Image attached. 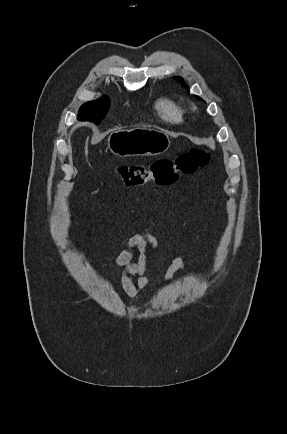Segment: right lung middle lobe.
<instances>
[{
    "mask_svg": "<svg viewBox=\"0 0 287 434\" xmlns=\"http://www.w3.org/2000/svg\"><path fill=\"white\" fill-rule=\"evenodd\" d=\"M108 108L109 100L107 97L87 102L80 108L79 119L90 120L98 124L106 115Z\"/></svg>",
    "mask_w": 287,
    "mask_h": 434,
    "instance_id": "right-lung-middle-lobe-1",
    "label": "right lung middle lobe"
}]
</instances>
